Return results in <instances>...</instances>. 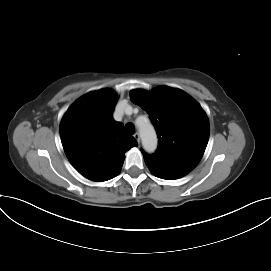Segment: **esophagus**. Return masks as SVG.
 Returning a JSON list of instances; mask_svg holds the SVG:
<instances>
[{"label": "esophagus", "mask_w": 271, "mask_h": 271, "mask_svg": "<svg viewBox=\"0 0 271 271\" xmlns=\"http://www.w3.org/2000/svg\"><path fill=\"white\" fill-rule=\"evenodd\" d=\"M134 138L136 139V141H137L138 143H140V135H139L138 132H136V133L134 134Z\"/></svg>", "instance_id": "esophagus-1"}]
</instances>
